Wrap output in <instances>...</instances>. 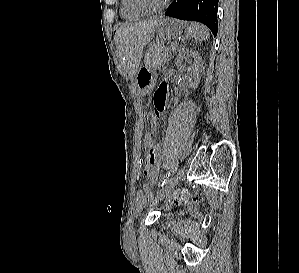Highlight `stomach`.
<instances>
[{
  "instance_id": "obj_1",
  "label": "stomach",
  "mask_w": 299,
  "mask_h": 273,
  "mask_svg": "<svg viewBox=\"0 0 299 273\" xmlns=\"http://www.w3.org/2000/svg\"><path fill=\"white\" fill-rule=\"evenodd\" d=\"M183 31V25L181 22L173 19H163L160 21L156 28L157 35L163 40H171L179 35ZM138 72L135 82L139 91L147 93L151 89V83L154 81L155 72L151 67H136Z\"/></svg>"
}]
</instances>
